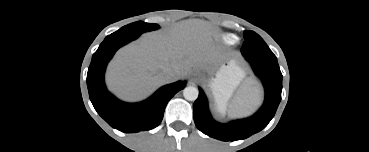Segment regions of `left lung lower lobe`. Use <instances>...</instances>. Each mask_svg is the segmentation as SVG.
Listing matches in <instances>:
<instances>
[{"label":"left lung lower lobe","instance_id":"obj_1","mask_svg":"<svg viewBox=\"0 0 369 152\" xmlns=\"http://www.w3.org/2000/svg\"><path fill=\"white\" fill-rule=\"evenodd\" d=\"M265 88V100L260 110L250 118L221 124L213 120L204 92L194 102L193 114L197 128L204 134L222 141L248 138L261 131L273 118L281 100L282 74L277 59L245 56Z\"/></svg>","mask_w":369,"mask_h":152}]
</instances>
